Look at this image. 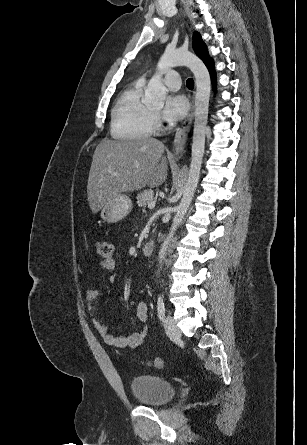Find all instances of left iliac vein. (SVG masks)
<instances>
[{
	"mask_svg": "<svg viewBox=\"0 0 307 445\" xmlns=\"http://www.w3.org/2000/svg\"><path fill=\"white\" fill-rule=\"evenodd\" d=\"M164 327L167 335L171 338H178L181 336V331L176 325V322L171 316H166L164 320Z\"/></svg>",
	"mask_w": 307,
	"mask_h": 445,
	"instance_id": "left-iliac-vein-1",
	"label": "left iliac vein"
}]
</instances>
